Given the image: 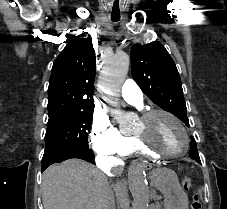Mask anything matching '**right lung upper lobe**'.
<instances>
[{
  "instance_id": "cb5924a9",
  "label": "right lung upper lobe",
  "mask_w": 227,
  "mask_h": 209,
  "mask_svg": "<svg viewBox=\"0 0 227 209\" xmlns=\"http://www.w3.org/2000/svg\"><path fill=\"white\" fill-rule=\"evenodd\" d=\"M95 53L86 39L66 45L54 61L48 88V108L66 98L93 99Z\"/></svg>"
}]
</instances>
